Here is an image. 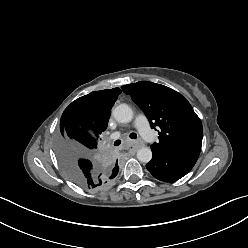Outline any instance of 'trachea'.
Masks as SVG:
<instances>
[{
  "instance_id": "1",
  "label": "trachea",
  "mask_w": 248,
  "mask_h": 248,
  "mask_svg": "<svg viewBox=\"0 0 248 248\" xmlns=\"http://www.w3.org/2000/svg\"><path fill=\"white\" fill-rule=\"evenodd\" d=\"M129 137L131 138V139H136L137 138V134L136 133H131L130 135H129ZM121 144V140H116L115 142H114V146H119Z\"/></svg>"
}]
</instances>
